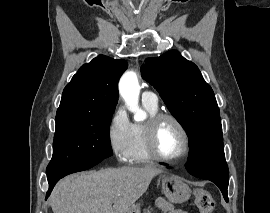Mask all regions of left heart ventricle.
I'll return each instance as SVG.
<instances>
[{
	"instance_id": "1",
	"label": "left heart ventricle",
	"mask_w": 270,
	"mask_h": 213,
	"mask_svg": "<svg viewBox=\"0 0 270 213\" xmlns=\"http://www.w3.org/2000/svg\"><path fill=\"white\" fill-rule=\"evenodd\" d=\"M156 144L164 156L176 157L183 152L184 138L174 122L165 120L157 131Z\"/></svg>"
}]
</instances>
